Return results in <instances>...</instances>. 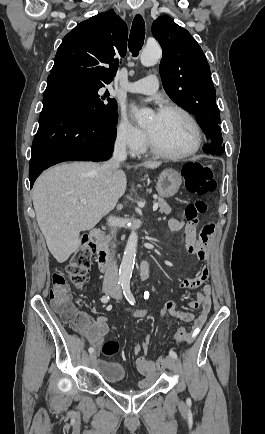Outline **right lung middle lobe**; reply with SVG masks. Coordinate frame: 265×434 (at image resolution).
Listing matches in <instances>:
<instances>
[{
	"label": "right lung middle lobe",
	"mask_w": 265,
	"mask_h": 434,
	"mask_svg": "<svg viewBox=\"0 0 265 434\" xmlns=\"http://www.w3.org/2000/svg\"><path fill=\"white\" fill-rule=\"evenodd\" d=\"M109 82L85 75L61 74L48 77L43 101L56 99L65 102L84 119L92 123L115 127L117 103L101 93Z\"/></svg>",
	"instance_id": "obj_1"
}]
</instances>
